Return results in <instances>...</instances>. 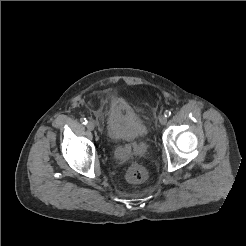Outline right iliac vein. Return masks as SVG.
Returning <instances> with one entry per match:
<instances>
[{
    "label": "right iliac vein",
    "mask_w": 246,
    "mask_h": 246,
    "mask_svg": "<svg viewBox=\"0 0 246 246\" xmlns=\"http://www.w3.org/2000/svg\"><path fill=\"white\" fill-rule=\"evenodd\" d=\"M87 128H88L89 130H94V129H95V123H94L93 121H89V122L87 123Z\"/></svg>",
    "instance_id": "obj_1"
}]
</instances>
